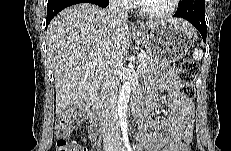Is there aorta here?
I'll list each match as a JSON object with an SVG mask.
<instances>
[{
	"mask_svg": "<svg viewBox=\"0 0 231 151\" xmlns=\"http://www.w3.org/2000/svg\"><path fill=\"white\" fill-rule=\"evenodd\" d=\"M130 92H131V83L129 81H125L120 90L118 102H117L120 127L125 143L128 142L127 106L129 102Z\"/></svg>",
	"mask_w": 231,
	"mask_h": 151,
	"instance_id": "obj_1",
	"label": "aorta"
}]
</instances>
